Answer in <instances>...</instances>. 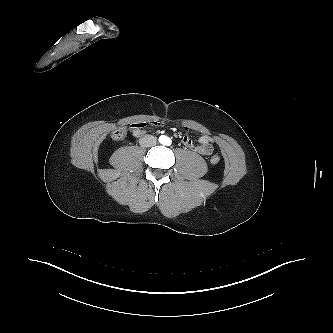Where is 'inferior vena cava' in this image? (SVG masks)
<instances>
[{"label": "inferior vena cava", "mask_w": 333, "mask_h": 333, "mask_svg": "<svg viewBox=\"0 0 333 333\" xmlns=\"http://www.w3.org/2000/svg\"><path fill=\"white\" fill-rule=\"evenodd\" d=\"M156 141H157L156 137L152 135H145L144 137L139 139V144L142 147H151L156 144Z\"/></svg>", "instance_id": "1"}]
</instances>
